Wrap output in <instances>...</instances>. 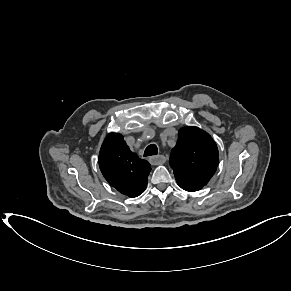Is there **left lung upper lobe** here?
<instances>
[{"label": "left lung upper lobe", "instance_id": "5c2ea615", "mask_svg": "<svg viewBox=\"0 0 291 291\" xmlns=\"http://www.w3.org/2000/svg\"><path fill=\"white\" fill-rule=\"evenodd\" d=\"M178 185L189 192L205 186L219 163L218 148L212 137L195 126L183 127L169 160Z\"/></svg>", "mask_w": 291, "mask_h": 291}]
</instances>
